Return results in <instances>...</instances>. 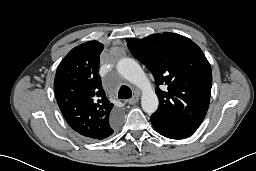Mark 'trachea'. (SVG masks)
I'll use <instances>...</instances> for the list:
<instances>
[{
  "mask_svg": "<svg viewBox=\"0 0 256 171\" xmlns=\"http://www.w3.org/2000/svg\"><path fill=\"white\" fill-rule=\"evenodd\" d=\"M131 97H132L131 89L126 85H122L119 90V93H118V98L119 99H129Z\"/></svg>",
  "mask_w": 256,
  "mask_h": 171,
  "instance_id": "1",
  "label": "trachea"
}]
</instances>
